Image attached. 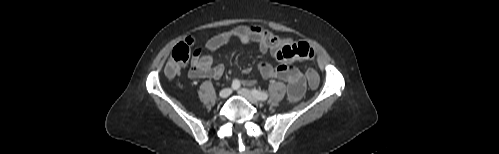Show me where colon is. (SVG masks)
Instances as JSON below:
<instances>
[{"label":"colon","instance_id":"1","mask_svg":"<svg viewBox=\"0 0 499 154\" xmlns=\"http://www.w3.org/2000/svg\"><path fill=\"white\" fill-rule=\"evenodd\" d=\"M194 46V40L192 38H187L183 42L177 44L170 58L167 61L165 67V73L169 77L177 76L181 69L186 65L191 55L192 48ZM305 77L308 85L315 89L319 85V75L313 69H308L305 72Z\"/></svg>","mask_w":499,"mask_h":154}]
</instances>
